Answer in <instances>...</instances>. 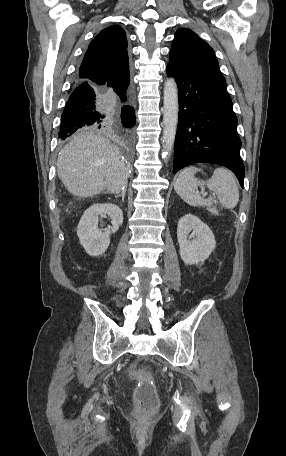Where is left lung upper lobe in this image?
<instances>
[{"instance_id":"1","label":"left lung upper lobe","mask_w":286,"mask_h":456,"mask_svg":"<svg viewBox=\"0 0 286 456\" xmlns=\"http://www.w3.org/2000/svg\"><path fill=\"white\" fill-rule=\"evenodd\" d=\"M169 64L227 87L213 49L190 29L176 31Z\"/></svg>"}]
</instances>
